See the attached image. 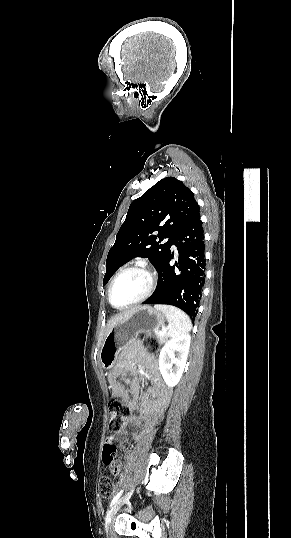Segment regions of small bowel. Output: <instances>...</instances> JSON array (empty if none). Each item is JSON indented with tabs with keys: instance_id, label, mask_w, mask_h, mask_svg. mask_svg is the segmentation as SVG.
Returning <instances> with one entry per match:
<instances>
[{
	"instance_id": "small-bowel-1",
	"label": "small bowel",
	"mask_w": 291,
	"mask_h": 538,
	"mask_svg": "<svg viewBox=\"0 0 291 538\" xmlns=\"http://www.w3.org/2000/svg\"><path fill=\"white\" fill-rule=\"evenodd\" d=\"M144 377L150 379L154 387L144 393L142 403L138 401L140 395V380ZM108 382L112 396L125 402L133 412L127 420V425L135 427L133 439L140 441L150 428L160 408L170 396L171 390L163 385L158 362L150 355H133L128 351L121 354L118 363L108 366ZM127 432L122 429L116 435L109 436L106 442L117 441L121 450L126 449ZM105 442V443H106ZM111 472L120 476L122 463L116 460L110 466Z\"/></svg>"
}]
</instances>
